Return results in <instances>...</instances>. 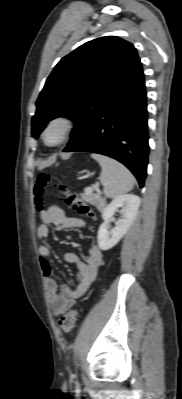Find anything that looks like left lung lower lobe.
Segmentation results:
<instances>
[{
  "label": "left lung lower lobe",
  "mask_w": 182,
  "mask_h": 399,
  "mask_svg": "<svg viewBox=\"0 0 182 399\" xmlns=\"http://www.w3.org/2000/svg\"><path fill=\"white\" fill-rule=\"evenodd\" d=\"M146 101L141 70L108 100L87 130L63 151H86L114 158L143 187L149 154Z\"/></svg>",
  "instance_id": "0a47b994"
}]
</instances>
